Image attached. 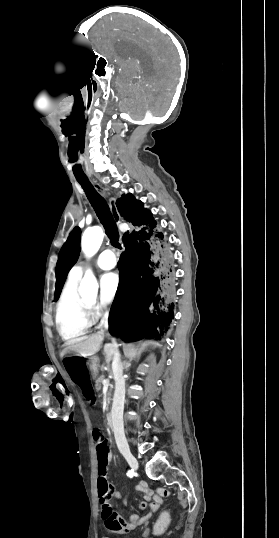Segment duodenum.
Returning <instances> with one entry per match:
<instances>
[{
    "mask_svg": "<svg viewBox=\"0 0 279 538\" xmlns=\"http://www.w3.org/2000/svg\"><path fill=\"white\" fill-rule=\"evenodd\" d=\"M92 369L94 371H97L99 369V366L97 364H94L92 366ZM105 417L107 418V422H108V428H115V423L114 422V419H113V413H110V412H107L105 414Z\"/></svg>",
    "mask_w": 279,
    "mask_h": 538,
    "instance_id": "1",
    "label": "duodenum"
}]
</instances>
